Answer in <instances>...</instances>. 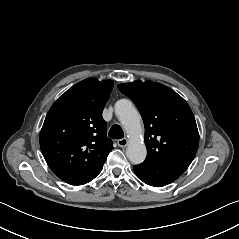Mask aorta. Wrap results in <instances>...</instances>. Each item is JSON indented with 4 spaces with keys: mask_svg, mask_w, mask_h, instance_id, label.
Segmentation results:
<instances>
[{
    "mask_svg": "<svg viewBox=\"0 0 239 239\" xmlns=\"http://www.w3.org/2000/svg\"><path fill=\"white\" fill-rule=\"evenodd\" d=\"M115 113L122 121L130 141L126 148V156L134 164L142 162L146 157L147 150L146 145L141 140L143 128L140 115L127 99L119 100L116 103Z\"/></svg>",
    "mask_w": 239,
    "mask_h": 239,
    "instance_id": "762f6f07",
    "label": "aorta"
}]
</instances>
